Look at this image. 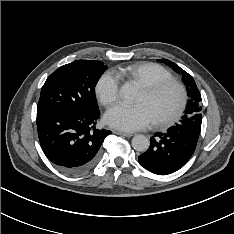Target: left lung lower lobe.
<instances>
[{
    "instance_id": "1",
    "label": "left lung lower lobe",
    "mask_w": 234,
    "mask_h": 234,
    "mask_svg": "<svg viewBox=\"0 0 234 234\" xmlns=\"http://www.w3.org/2000/svg\"><path fill=\"white\" fill-rule=\"evenodd\" d=\"M199 134L175 125L166 133H156L149 149L138 157L148 171L166 175L179 170L195 151Z\"/></svg>"
}]
</instances>
